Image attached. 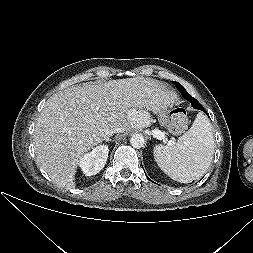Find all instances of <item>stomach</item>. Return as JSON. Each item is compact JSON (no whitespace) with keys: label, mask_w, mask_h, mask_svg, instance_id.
Returning <instances> with one entry per match:
<instances>
[{"label":"stomach","mask_w":253,"mask_h":253,"mask_svg":"<svg viewBox=\"0 0 253 253\" xmlns=\"http://www.w3.org/2000/svg\"><path fill=\"white\" fill-rule=\"evenodd\" d=\"M168 109L167 108H163V109H161L160 111H159V115H158V117H159V124L161 125V126H168L169 125V115H168Z\"/></svg>","instance_id":"0dacf381"}]
</instances>
